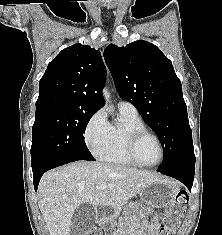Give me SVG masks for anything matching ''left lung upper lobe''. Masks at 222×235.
<instances>
[{"instance_id":"5c2ea615","label":"left lung upper lobe","mask_w":222,"mask_h":235,"mask_svg":"<svg viewBox=\"0 0 222 235\" xmlns=\"http://www.w3.org/2000/svg\"><path fill=\"white\" fill-rule=\"evenodd\" d=\"M104 59L119 96L137 108L161 141L164 158L158 168L195 166L187 107L171 61L144 40L110 44Z\"/></svg>"}]
</instances>
